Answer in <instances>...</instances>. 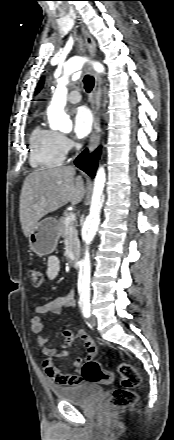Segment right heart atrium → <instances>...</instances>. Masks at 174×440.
<instances>
[{
  "label": "right heart atrium",
  "instance_id": "1",
  "mask_svg": "<svg viewBox=\"0 0 174 440\" xmlns=\"http://www.w3.org/2000/svg\"><path fill=\"white\" fill-rule=\"evenodd\" d=\"M58 144L61 151L66 156L73 148V143L70 138L62 133H58Z\"/></svg>",
  "mask_w": 174,
  "mask_h": 440
}]
</instances>
